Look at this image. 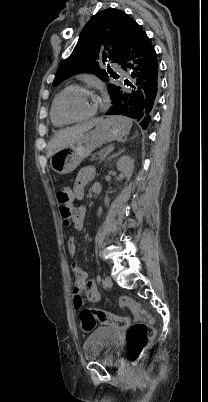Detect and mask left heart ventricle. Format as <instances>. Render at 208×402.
Segmentation results:
<instances>
[{
	"instance_id": "b2bd125f",
	"label": "left heart ventricle",
	"mask_w": 208,
	"mask_h": 402,
	"mask_svg": "<svg viewBox=\"0 0 208 402\" xmlns=\"http://www.w3.org/2000/svg\"><path fill=\"white\" fill-rule=\"evenodd\" d=\"M98 103V95L90 90L72 89L61 100L63 109L72 116L89 113Z\"/></svg>"
}]
</instances>
